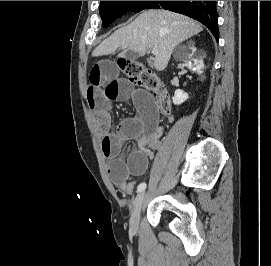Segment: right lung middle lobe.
I'll return each mask as SVG.
<instances>
[{
  "instance_id": "right-lung-middle-lobe-1",
  "label": "right lung middle lobe",
  "mask_w": 271,
  "mask_h": 266,
  "mask_svg": "<svg viewBox=\"0 0 271 266\" xmlns=\"http://www.w3.org/2000/svg\"><path fill=\"white\" fill-rule=\"evenodd\" d=\"M155 1H101L100 16L102 26L107 27L122 14L128 11L139 12L148 9Z\"/></svg>"
}]
</instances>
